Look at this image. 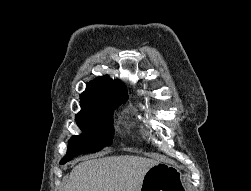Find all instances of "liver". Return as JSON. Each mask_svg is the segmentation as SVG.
I'll list each match as a JSON object with an SVG mask.
<instances>
[{"label":"liver","instance_id":"obj_1","mask_svg":"<svg viewBox=\"0 0 251 191\" xmlns=\"http://www.w3.org/2000/svg\"><path fill=\"white\" fill-rule=\"evenodd\" d=\"M70 171L66 191H141L145 173L156 159L140 155H95Z\"/></svg>","mask_w":251,"mask_h":191}]
</instances>
